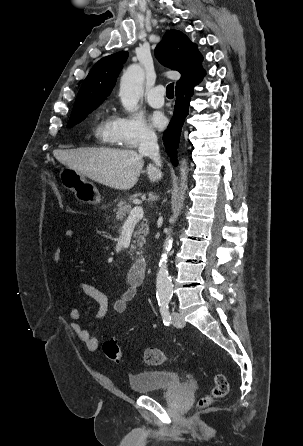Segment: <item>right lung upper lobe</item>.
<instances>
[{"mask_svg":"<svg viewBox=\"0 0 303 446\" xmlns=\"http://www.w3.org/2000/svg\"><path fill=\"white\" fill-rule=\"evenodd\" d=\"M155 55L167 67L181 73L176 88L190 83L202 75V56L187 36L177 30H169L156 46ZM127 52L121 51L99 60L82 83L73 112L99 106L110 94L116 77L127 59Z\"/></svg>","mask_w":303,"mask_h":446,"instance_id":"right-lung-upper-lobe-1","label":"right lung upper lobe"}]
</instances>
